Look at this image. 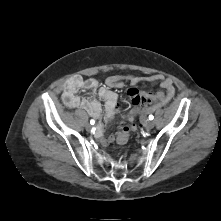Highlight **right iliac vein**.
I'll return each instance as SVG.
<instances>
[{
    "mask_svg": "<svg viewBox=\"0 0 221 221\" xmlns=\"http://www.w3.org/2000/svg\"><path fill=\"white\" fill-rule=\"evenodd\" d=\"M85 128H86L87 131H91L92 126L90 124H86Z\"/></svg>",
    "mask_w": 221,
    "mask_h": 221,
    "instance_id": "63e3f726",
    "label": "right iliac vein"
}]
</instances>
